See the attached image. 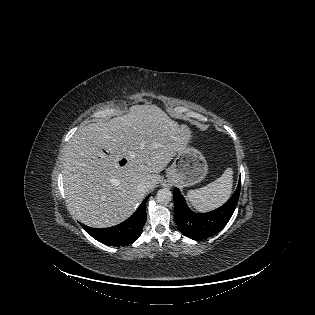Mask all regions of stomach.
Masks as SVG:
<instances>
[{
    "mask_svg": "<svg viewBox=\"0 0 315 315\" xmlns=\"http://www.w3.org/2000/svg\"><path fill=\"white\" fill-rule=\"evenodd\" d=\"M208 170L205 157L200 151L186 147L178 153L167 170V180L183 187H188L201 182Z\"/></svg>",
    "mask_w": 315,
    "mask_h": 315,
    "instance_id": "obj_1",
    "label": "stomach"
}]
</instances>
